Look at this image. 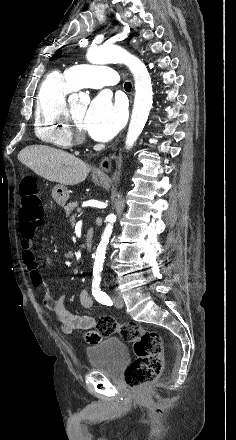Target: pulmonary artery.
Returning <instances> with one entry per match:
<instances>
[{"label":"pulmonary artery","mask_w":236,"mask_h":440,"mask_svg":"<svg viewBox=\"0 0 236 440\" xmlns=\"http://www.w3.org/2000/svg\"><path fill=\"white\" fill-rule=\"evenodd\" d=\"M65 76L74 89H103L115 86L119 80L115 69L105 65H74L66 69Z\"/></svg>","instance_id":"e3ab8cb5"}]
</instances>
